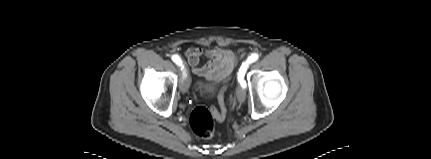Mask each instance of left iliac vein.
<instances>
[{"instance_id": "left-iliac-vein-1", "label": "left iliac vein", "mask_w": 431, "mask_h": 159, "mask_svg": "<svg viewBox=\"0 0 431 159\" xmlns=\"http://www.w3.org/2000/svg\"><path fill=\"white\" fill-rule=\"evenodd\" d=\"M236 96L239 102H244L246 98V91L243 87L238 86L236 88Z\"/></svg>"}]
</instances>
